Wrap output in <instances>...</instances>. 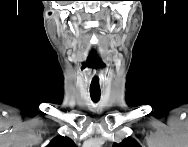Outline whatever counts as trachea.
Segmentation results:
<instances>
[{"mask_svg": "<svg viewBox=\"0 0 188 147\" xmlns=\"http://www.w3.org/2000/svg\"><path fill=\"white\" fill-rule=\"evenodd\" d=\"M90 96H91V99H92L94 102H97V101L100 99V93H91V92H90Z\"/></svg>", "mask_w": 188, "mask_h": 147, "instance_id": "trachea-1", "label": "trachea"}]
</instances>
